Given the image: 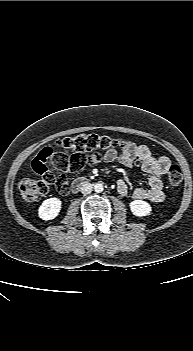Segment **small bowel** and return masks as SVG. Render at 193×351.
I'll list each match as a JSON object with an SVG mask.
<instances>
[{"label":"small bowel","mask_w":193,"mask_h":351,"mask_svg":"<svg viewBox=\"0 0 193 351\" xmlns=\"http://www.w3.org/2000/svg\"><path fill=\"white\" fill-rule=\"evenodd\" d=\"M122 144L121 152L115 149L105 152L103 160L106 163L117 162L125 167H131L139 163L142 170L148 174V187H138L132 192L136 200H147L152 203H161L165 199L162 177L167 173L170 160L166 156H154L146 145H137L130 141L119 140ZM117 191L121 195H127L129 188L127 183L120 179L117 182Z\"/></svg>","instance_id":"1"}]
</instances>
